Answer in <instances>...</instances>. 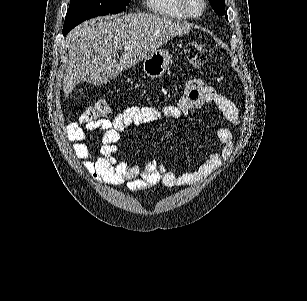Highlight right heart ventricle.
Segmentation results:
<instances>
[{"instance_id": "right-heart-ventricle-1", "label": "right heart ventricle", "mask_w": 307, "mask_h": 301, "mask_svg": "<svg viewBox=\"0 0 307 301\" xmlns=\"http://www.w3.org/2000/svg\"><path fill=\"white\" fill-rule=\"evenodd\" d=\"M151 12L157 13L158 17H183V10L177 9V0H149Z\"/></svg>"}]
</instances>
